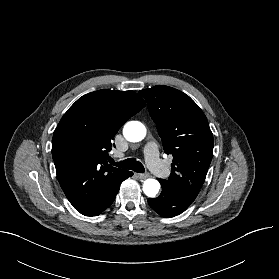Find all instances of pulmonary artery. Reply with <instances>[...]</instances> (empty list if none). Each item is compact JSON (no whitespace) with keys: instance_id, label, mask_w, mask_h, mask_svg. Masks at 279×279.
Returning a JSON list of instances; mask_svg holds the SVG:
<instances>
[{"instance_id":"obj_1","label":"pulmonary artery","mask_w":279,"mask_h":279,"mask_svg":"<svg viewBox=\"0 0 279 279\" xmlns=\"http://www.w3.org/2000/svg\"><path fill=\"white\" fill-rule=\"evenodd\" d=\"M144 154L149 167L159 175L165 172L164 165L159 158L158 146L155 142H149L144 147Z\"/></svg>"}]
</instances>
